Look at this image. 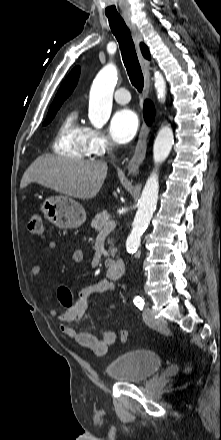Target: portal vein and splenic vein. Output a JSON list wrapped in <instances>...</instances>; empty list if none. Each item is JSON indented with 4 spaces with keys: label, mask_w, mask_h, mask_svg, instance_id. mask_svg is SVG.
<instances>
[{
    "label": "portal vein and splenic vein",
    "mask_w": 221,
    "mask_h": 440,
    "mask_svg": "<svg viewBox=\"0 0 221 440\" xmlns=\"http://www.w3.org/2000/svg\"><path fill=\"white\" fill-rule=\"evenodd\" d=\"M116 224L114 221H109L102 230L103 232H110L115 228Z\"/></svg>",
    "instance_id": "1"
}]
</instances>
